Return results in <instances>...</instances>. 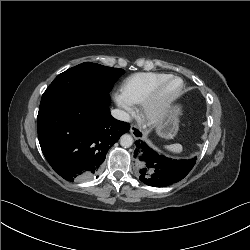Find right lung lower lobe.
<instances>
[{
    "label": "right lung lower lobe",
    "mask_w": 250,
    "mask_h": 250,
    "mask_svg": "<svg viewBox=\"0 0 250 250\" xmlns=\"http://www.w3.org/2000/svg\"><path fill=\"white\" fill-rule=\"evenodd\" d=\"M109 103V93L77 88L39 108L41 150L65 180L97 177L108 149L129 131L128 123L111 116Z\"/></svg>",
    "instance_id": "obj_1"
}]
</instances>
